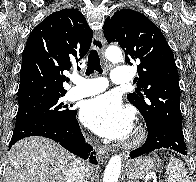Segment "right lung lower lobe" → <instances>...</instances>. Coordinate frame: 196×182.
<instances>
[{"label":"right lung lower lobe","mask_w":196,"mask_h":182,"mask_svg":"<svg viewBox=\"0 0 196 182\" xmlns=\"http://www.w3.org/2000/svg\"><path fill=\"white\" fill-rule=\"evenodd\" d=\"M29 136H43L59 142L73 154L90 159L92 164H97L93 147L85 143L81 133L76 114L69 120L56 118H38L17 124L14 128L9 148L18 140Z\"/></svg>","instance_id":"98d812e1"}]
</instances>
